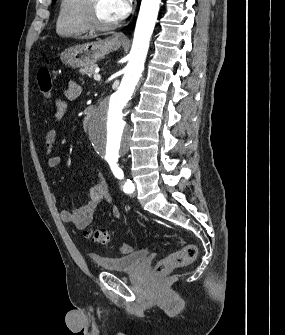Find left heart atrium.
<instances>
[{"mask_svg":"<svg viewBox=\"0 0 285 335\" xmlns=\"http://www.w3.org/2000/svg\"><path fill=\"white\" fill-rule=\"evenodd\" d=\"M131 2L132 1H111V8L115 23L127 15Z\"/></svg>","mask_w":285,"mask_h":335,"instance_id":"left-heart-atrium-1","label":"left heart atrium"}]
</instances>
